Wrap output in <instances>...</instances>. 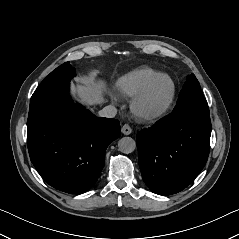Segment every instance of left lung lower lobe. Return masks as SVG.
I'll return each mask as SVG.
<instances>
[{"label": "left lung lower lobe", "instance_id": "0a47b994", "mask_svg": "<svg viewBox=\"0 0 239 239\" xmlns=\"http://www.w3.org/2000/svg\"><path fill=\"white\" fill-rule=\"evenodd\" d=\"M208 104L189 103L137 134L138 162L149 189L171 195L187 187L205 166L210 150Z\"/></svg>", "mask_w": 239, "mask_h": 239}]
</instances>
